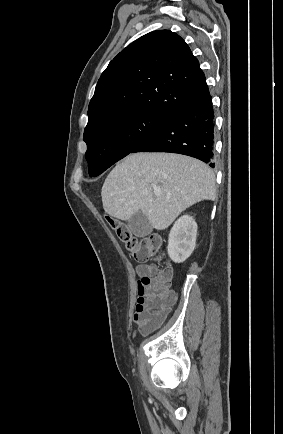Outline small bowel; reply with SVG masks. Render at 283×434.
<instances>
[{"instance_id": "obj_1", "label": "small bowel", "mask_w": 283, "mask_h": 434, "mask_svg": "<svg viewBox=\"0 0 283 434\" xmlns=\"http://www.w3.org/2000/svg\"><path fill=\"white\" fill-rule=\"evenodd\" d=\"M156 267L153 264L138 265L136 267V273L139 277L148 276L155 272Z\"/></svg>"}]
</instances>
